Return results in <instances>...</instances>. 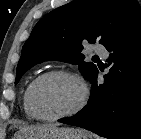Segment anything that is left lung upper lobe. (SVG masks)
Segmentation results:
<instances>
[{"mask_svg":"<svg viewBox=\"0 0 141 139\" xmlns=\"http://www.w3.org/2000/svg\"><path fill=\"white\" fill-rule=\"evenodd\" d=\"M141 22L137 0H74L43 17L25 42L16 70L17 83L34 65L46 60L78 64L90 79L97 67L84 62L82 42L106 46Z\"/></svg>","mask_w":141,"mask_h":139,"instance_id":"5c2ea615","label":"left lung upper lobe"}]
</instances>
